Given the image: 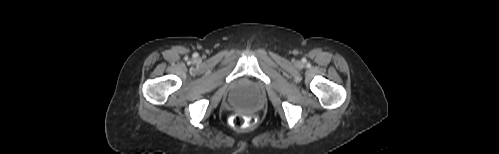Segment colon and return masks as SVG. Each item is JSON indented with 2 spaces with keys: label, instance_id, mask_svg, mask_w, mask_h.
I'll list each match as a JSON object with an SVG mask.
<instances>
[{
  "label": "colon",
  "instance_id": "obj_1",
  "mask_svg": "<svg viewBox=\"0 0 499 154\" xmlns=\"http://www.w3.org/2000/svg\"><path fill=\"white\" fill-rule=\"evenodd\" d=\"M253 122L251 116L235 114L231 118V125L236 129H243L250 126Z\"/></svg>",
  "mask_w": 499,
  "mask_h": 154
}]
</instances>
